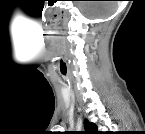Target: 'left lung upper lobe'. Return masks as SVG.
<instances>
[{
  "mask_svg": "<svg viewBox=\"0 0 145 134\" xmlns=\"http://www.w3.org/2000/svg\"><path fill=\"white\" fill-rule=\"evenodd\" d=\"M84 124H85L86 134H98L97 126L95 124L90 123L87 120H85Z\"/></svg>",
  "mask_w": 145,
  "mask_h": 134,
  "instance_id": "5c2ea615",
  "label": "left lung upper lobe"
}]
</instances>
